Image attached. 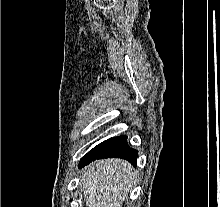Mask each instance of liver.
Listing matches in <instances>:
<instances>
[{
    "mask_svg": "<svg viewBox=\"0 0 220 207\" xmlns=\"http://www.w3.org/2000/svg\"><path fill=\"white\" fill-rule=\"evenodd\" d=\"M81 173L87 207H122L136 180L135 169L122 159L95 161Z\"/></svg>",
    "mask_w": 220,
    "mask_h": 207,
    "instance_id": "6515ba94",
    "label": "liver"
}]
</instances>
